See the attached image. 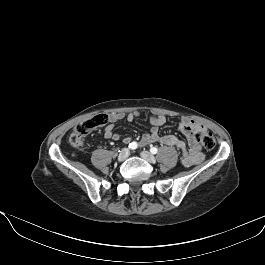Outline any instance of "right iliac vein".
Here are the masks:
<instances>
[{
  "mask_svg": "<svg viewBox=\"0 0 265 265\" xmlns=\"http://www.w3.org/2000/svg\"><path fill=\"white\" fill-rule=\"evenodd\" d=\"M129 154H130L129 149H128V148H123V149L120 151L119 155H118V160H119V161H124V160H126V159L129 157Z\"/></svg>",
  "mask_w": 265,
  "mask_h": 265,
  "instance_id": "1",
  "label": "right iliac vein"
}]
</instances>
